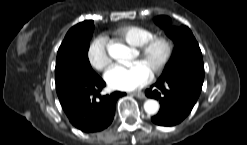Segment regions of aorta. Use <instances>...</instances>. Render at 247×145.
Returning a JSON list of instances; mask_svg holds the SVG:
<instances>
[{
	"mask_svg": "<svg viewBox=\"0 0 247 145\" xmlns=\"http://www.w3.org/2000/svg\"><path fill=\"white\" fill-rule=\"evenodd\" d=\"M108 53L113 59L124 61L127 59L130 49L123 44L113 43L108 46ZM144 109L146 113L154 115L159 110V103L156 100L148 99L144 103Z\"/></svg>",
	"mask_w": 247,
	"mask_h": 145,
	"instance_id": "obj_1",
	"label": "aorta"
}]
</instances>
